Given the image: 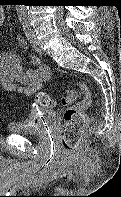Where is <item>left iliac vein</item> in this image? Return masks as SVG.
I'll use <instances>...</instances> for the list:
<instances>
[{
    "mask_svg": "<svg viewBox=\"0 0 121 197\" xmlns=\"http://www.w3.org/2000/svg\"><path fill=\"white\" fill-rule=\"evenodd\" d=\"M32 46L38 54L44 53V51H43L42 47L40 46L38 40L36 39V36L34 33L32 34Z\"/></svg>",
    "mask_w": 121,
    "mask_h": 197,
    "instance_id": "obj_1",
    "label": "left iliac vein"
}]
</instances>
